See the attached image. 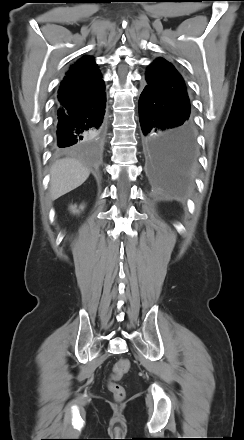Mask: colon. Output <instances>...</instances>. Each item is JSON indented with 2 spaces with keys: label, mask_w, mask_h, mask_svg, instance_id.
I'll list each match as a JSON object with an SVG mask.
<instances>
[{
  "label": "colon",
  "mask_w": 244,
  "mask_h": 440,
  "mask_svg": "<svg viewBox=\"0 0 244 440\" xmlns=\"http://www.w3.org/2000/svg\"><path fill=\"white\" fill-rule=\"evenodd\" d=\"M129 362L126 359H120L115 364L110 380L108 382V389L113 394L117 401H122L125 398V389L118 383L119 379L128 371Z\"/></svg>",
  "instance_id": "1"
}]
</instances>
